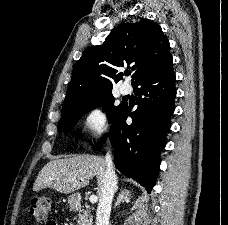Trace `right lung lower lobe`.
I'll list each match as a JSON object with an SVG mask.
<instances>
[{"mask_svg":"<svg viewBox=\"0 0 228 225\" xmlns=\"http://www.w3.org/2000/svg\"><path fill=\"white\" fill-rule=\"evenodd\" d=\"M173 59L169 54L156 67L146 72L133 86L138 96L136 111L130 114L126 105L112 121L110 141L115 149V165L125 176L136 180L148 192L155 185L159 154L165 147L176 96ZM140 86V88H138ZM130 116L131 125L126 124ZM103 136L96 147L104 142Z\"/></svg>","mask_w":228,"mask_h":225,"instance_id":"right-lung-lower-lobe-1","label":"right lung lower lobe"}]
</instances>
